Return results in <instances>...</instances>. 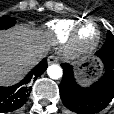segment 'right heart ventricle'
Here are the masks:
<instances>
[{
	"label": "right heart ventricle",
	"mask_w": 114,
	"mask_h": 114,
	"mask_svg": "<svg viewBox=\"0 0 114 114\" xmlns=\"http://www.w3.org/2000/svg\"><path fill=\"white\" fill-rule=\"evenodd\" d=\"M78 25L77 21L70 19H56L50 21L46 28L47 30L54 35V37L59 42L66 41L70 38L73 30Z\"/></svg>",
	"instance_id": "right-heart-ventricle-1"
}]
</instances>
